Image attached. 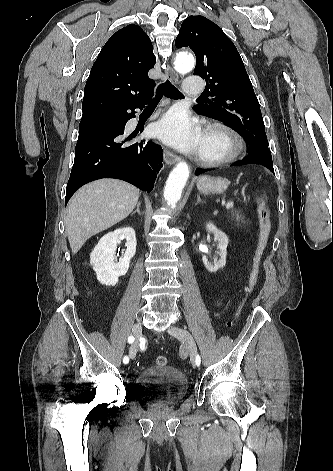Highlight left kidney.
Masks as SVG:
<instances>
[{
	"label": "left kidney",
	"instance_id": "5707ae66",
	"mask_svg": "<svg viewBox=\"0 0 333 471\" xmlns=\"http://www.w3.org/2000/svg\"><path fill=\"white\" fill-rule=\"evenodd\" d=\"M206 230L208 232L213 233L215 241L218 242L217 246L219 248V252H218L220 256L219 259L216 258L214 262H209L206 256L202 257V261L206 269L209 272L214 273L226 265L227 246H228L229 239L227 235L221 230L217 229L213 223H207Z\"/></svg>",
	"mask_w": 333,
	"mask_h": 471
}]
</instances>
